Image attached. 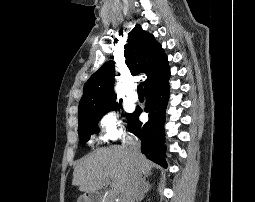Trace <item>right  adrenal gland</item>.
<instances>
[{"label":"right adrenal gland","mask_w":255,"mask_h":202,"mask_svg":"<svg viewBox=\"0 0 255 202\" xmlns=\"http://www.w3.org/2000/svg\"><path fill=\"white\" fill-rule=\"evenodd\" d=\"M147 176L143 178L144 186H145V193H147L151 189V184L146 180ZM142 199V198H141ZM138 199L137 202L141 201Z\"/></svg>","instance_id":"1"}]
</instances>
